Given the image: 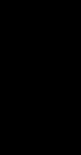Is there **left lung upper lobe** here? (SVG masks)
I'll list each match as a JSON object with an SVG mask.
<instances>
[{"instance_id": "1", "label": "left lung upper lobe", "mask_w": 81, "mask_h": 155, "mask_svg": "<svg viewBox=\"0 0 81 155\" xmlns=\"http://www.w3.org/2000/svg\"><path fill=\"white\" fill-rule=\"evenodd\" d=\"M69 96V108L80 110L77 95L81 87V58L78 53L67 47L55 48L47 55ZM79 96V95H78Z\"/></svg>"}]
</instances>
